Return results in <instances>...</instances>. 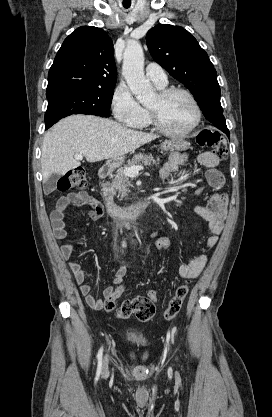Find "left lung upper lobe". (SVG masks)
<instances>
[{
  "label": "left lung upper lobe",
  "mask_w": 272,
  "mask_h": 417,
  "mask_svg": "<svg viewBox=\"0 0 272 417\" xmlns=\"http://www.w3.org/2000/svg\"><path fill=\"white\" fill-rule=\"evenodd\" d=\"M146 42L154 60L192 92L205 118L229 135L216 70L197 40L180 26L158 24Z\"/></svg>",
  "instance_id": "1"
}]
</instances>
